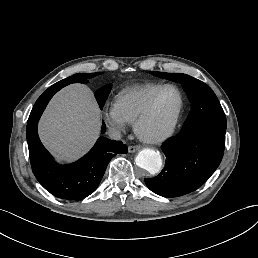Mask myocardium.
Returning a JSON list of instances; mask_svg holds the SVG:
<instances>
[{
  "label": "myocardium",
  "instance_id": "myocardium-1",
  "mask_svg": "<svg viewBox=\"0 0 258 258\" xmlns=\"http://www.w3.org/2000/svg\"><path fill=\"white\" fill-rule=\"evenodd\" d=\"M165 89H172L177 94L178 106H177V111H176L174 120H173L171 126L169 127V129L166 130L161 135L156 136V137L147 136V135L143 134L141 132V130H140L141 122L150 113L152 105H153V102H154L156 96L162 90H165ZM181 110H182V96H181L179 90L175 86H173V85H169V84L161 85L148 98L144 108L142 109V111L137 116V118H136V120L134 122V131H135L136 135L138 136V138L143 140V141H145V142H148V143H160V142H163V141L167 140L168 138H170L173 135V133H174L176 127H177L178 121H179Z\"/></svg>",
  "mask_w": 258,
  "mask_h": 258
}]
</instances>
